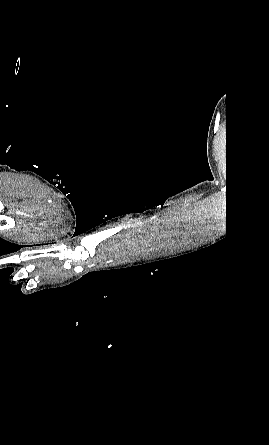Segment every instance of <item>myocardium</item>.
<instances>
[{
    "mask_svg": "<svg viewBox=\"0 0 269 445\" xmlns=\"http://www.w3.org/2000/svg\"><path fill=\"white\" fill-rule=\"evenodd\" d=\"M58 237H59V235H56V234H54V235H46V236L41 237L40 240L53 239V238H58Z\"/></svg>",
    "mask_w": 269,
    "mask_h": 445,
    "instance_id": "1",
    "label": "myocardium"
}]
</instances>
